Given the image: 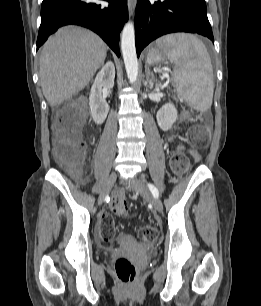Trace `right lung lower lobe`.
<instances>
[{
	"instance_id": "obj_1",
	"label": "right lung lower lobe",
	"mask_w": 261,
	"mask_h": 306,
	"mask_svg": "<svg viewBox=\"0 0 261 306\" xmlns=\"http://www.w3.org/2000/svg\"><path fill=\"white\" fill-rule=\"evenodd\" d=\"M127 20V0H43L37 49L59 27L76 24L96 32L120 56L119 34Z\"/></svg>"
}]
</instances>
